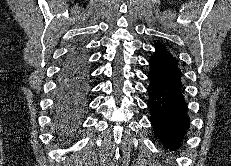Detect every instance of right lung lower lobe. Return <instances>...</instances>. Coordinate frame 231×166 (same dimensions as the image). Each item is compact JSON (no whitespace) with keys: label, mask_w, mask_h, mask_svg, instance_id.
<instances>
[{"label":"right lung lower lobe","mask_w":231,"mask_h":166,"mask_svg":"<svg viewBox=\"0 0 231 166\" xmlns=\"http://www.w3.org/2000/svg\"><path fill=\"white\" fill-rule=\"evenodd\" d=\"M89 88L87 53L79 45L66 57L54 94L52 119L58 132L77 129L86 110Z\"/></svg>","instance_id":"98d812e1"}]
</instances>
